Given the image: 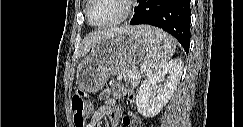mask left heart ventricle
I'll use <instances>...</instances> for the list:
<instances>
[{"mask_svg": "<svg viewBox=\"0 0 243 127\" xmlns=\"http://www.w3.org/2000/svg\"><path fill=\"white\" fill-rule=\"evenodd\" d=\"M123 11L121 0H94L90 7V17L93 23L103 24L116 19Z\"/></svg>", "mask_w": 243, "mask_h": 127, "instance_id": "obj_1", "label": "left heart ventricle"}]
</instances>
